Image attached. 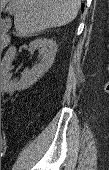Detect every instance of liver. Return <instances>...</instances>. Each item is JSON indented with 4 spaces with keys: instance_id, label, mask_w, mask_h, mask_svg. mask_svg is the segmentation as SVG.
I'll return each mask as SVG.
<instances>
[{
    "instance_id": "liver-1",
    "label": "liver",
    "mask_w": 109,
    "mask_h": 170,
    "mask_svg": "<svg viewBox=\"0 0 109 170\" xmlns=\"http://www.w3.org/2000/svg\"><path fill=\"white\" fill-rule=\"evenodd\" d=\"M4 2V1H3ZM15 8V26L30 33L63 25L72 21L78 12L80 0H8Z\"/></svg>"
}]
</instances>
